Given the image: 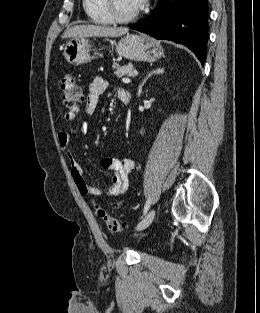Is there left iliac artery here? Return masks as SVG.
<instances>
[{
  "label": "left iliac artery",
  "mask_w": 260,
  "mask_h": 313,
  "mask_svg": "<svg viewBox=\"0 0 260 313\" xmlns=\"http://www.w3.org/2000/svg\"><path fill=\"white\" fill-rule=\"evenodd\" d=\"M150 205H151V199H148L145 203V206H144V215L147 213V211L149 210L150 208Z\"/></svg>",
  "instance_id": "obj_1"
}]
</instances>
